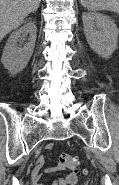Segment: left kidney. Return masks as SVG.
<instances>
[{
	"label": "left kidney",
	"mask_w": 119,
	"mask_h": 185,
	"mask_svg": "<svg viewBox=\"0 0 119 185\" xmlns=\"http://www.w3.org/2000/svg\"><path fill=\"white\" fill-rule=\"evenodd\" d=\"M82 21L90 48L102 58H109L117 48L119 34L113 19L101 13L84 12Z\"/></svg>",
	"instance_id": "1"
}]
</instances>
